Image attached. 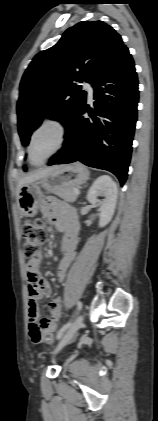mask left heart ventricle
<instances>
[{
    "label": "left heart ventricle",
    "mask_w": 158,
    "mask_h": 421,
    "mask_svg": "<svg viewBox=\"0 0 158 421\" xmlns=\"http://www.w3.org/2000/svg\"><path fill=\"white\" fill-rule=\"evenodd\" d=\"M58 130L51 125L40 129L35 135L31 145V159L38 163L46 158L58 144Z\"/></svg>",
    "instance_id": "1"
}]
</instances>
